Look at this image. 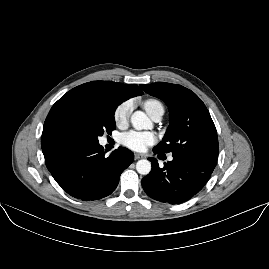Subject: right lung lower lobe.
I'll list each match as a JSON object with an SVG mask.
<instances>
[{
  "label": "right lung lower lobe",
  "mask_w": 269,
  "mask_h": 269,
  "mask_svg": "<svg viewBox=\"0 0 269 269\" xmlns=\"http://www.w3.org/2000/svg\"><path fill=\"white\" fill-rule=\"evenodd\" d=\"M41 146L56 182L69 195L83 201L111 194L121 173L134 159L133 152L124 147L106 157L98 142H82L64 129L44 130Z\"/></svg>",
  "instance_id": "right-lung-lower-lobe-1"
}]
</instances>
